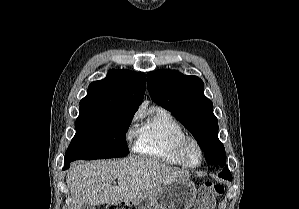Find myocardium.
I'll use <instances>...</instances> for the list:
<instances>
[{
    "mask_svg": "<svg viewBox=\"0 0 299 209\" xmlns=\"http://www.w3.org/2000/svg\"><path fill=\"white\" fill-rule=\"evenodd\" d=\"M190 145H195L200 154L199 163L196 165H192L187 161L186 154H187V149ZM176 155H177L181 165L188 169L199 168L203 164L204 157H205L204 149H203L201 143L196 138H194L192 136H188V135L179 141L177 148H176Z\"/></svg>",
    "mask_w": 299,
    "mask_h": 209,
    "instance_id": "f54148a6",
    "label": "myocardium"
}]
</instances>
